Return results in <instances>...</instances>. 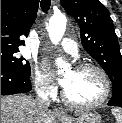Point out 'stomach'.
<instances>
[{
  "mask_svg": "<svg viewBox=\"0 0 122 123\" xmlns=\"http://www.w3.org/2000/svg\"><path fill=\"white\" fill-rule=\"evenodd\" d=\"M61 123H102L101 117L88 110L80 111L76 118L70 116L59 117Z\"/></svg>",
  "mask_w": 122,
  "mask_h": 123,
  "instance_id": "obj_1",
  "label": "stomach"
}]
</instances>
